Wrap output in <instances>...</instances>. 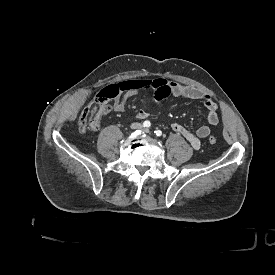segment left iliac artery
<instances>
[{
    "label": "left iliac artery",
    "instance_id": "1",
    "mask_svg": "<svg viewBox=\"0 0 275 275\" xmlns=\"http://www.w3.org/2000/svg\"><path fill=\"white\" fill-rule=\"evenodd\" d=\"M154 133L156 134V136H161L162 135L161 130H155Z\"/></svg>",
    "mask_w": 275,
    "mask_h": 275
}]
</instances>
